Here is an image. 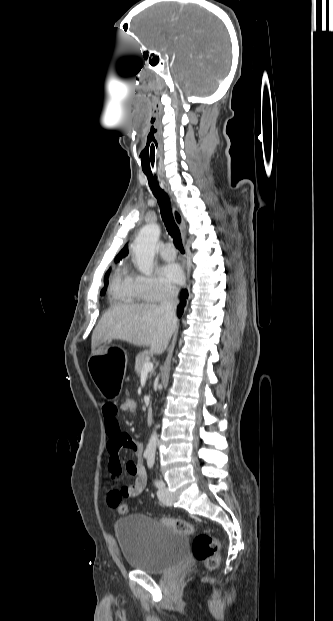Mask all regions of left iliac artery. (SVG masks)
<instances>
[{"label":"left iliac artery","instance_id":"44dca946","mask_svg":"<svg viewBox=\"0 0 333 621\" xmlns=\"http://www.w3.org/2000/svg\"><path fill=\"white\" fill-rule=\"evenodd\" d=\"M154 463H155V457L152 456V455L148 456L147 457V466H148L149 469L153 468ZM154 484H155V486L157 488H161V487L164 486L163 481L162 480H158V479L154 480Z\"/></svg>","mask_w":333,"mask_h":621}]
</instances>
